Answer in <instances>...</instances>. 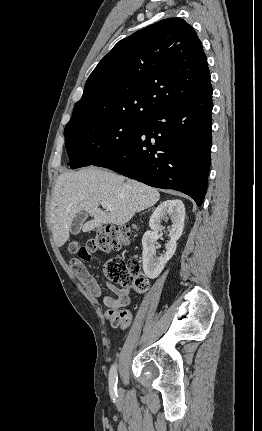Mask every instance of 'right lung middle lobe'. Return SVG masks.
Returning <instances> with one entry per match:
<instances>
[{"instance_id":"1","label":"right lung middle lobe","mask_w":262,"mask_h":431,"mask_svg":"<svg viewBox=\"0 0 262 431\" xmlns=\"http://www.w3.org/2000/svg\"><path fill=\"white\" fill-rule=\"evenodd\" d=\"M145 118L117 117L90 120L65 127V146L72 169L104 159L141 128Z\"/></svg>"}]
</instances>
